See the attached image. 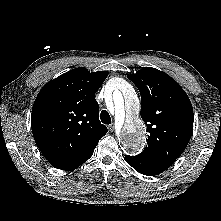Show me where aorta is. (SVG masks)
<instances>
[{
  "instance_id": "1",
  "label": "aorta",
  "mask_w": 221,
  "mask_h": 221,
  "mask_svg": "<svg viewBox=\"0 0 221 221\" xmlns=\"http://www.w3.org/2000/svg\"><path fill=\"white\" fill-rule=\"evenodd\" d=\"M122 90L113 92L115 107V120L123 125L121 132V145L125 152L135 155L142 151L146 143V129L139 118V99L137 94L127 82H121Z\"/></svg>"
}]
</instances>
